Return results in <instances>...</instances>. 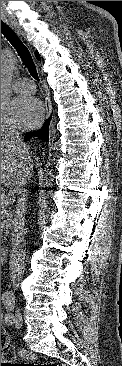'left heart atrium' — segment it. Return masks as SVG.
Returning <instances> with one entry per match:
<instances>
[{
    "mask_svg": "<svg viewBox=\"0 0 122 366\" xmlns=\"http://www.w3.org/2000/svg\"><path fill=\"white\" fill-rule=\"evenodd\" d=\"M41 102L29 96L15 98L11 104V123L21 128L37 126L43 118Z\"/></svg>",
    "mask_w": 122,
    "mask_h": 366,
    "instance_id": "left-heart-atrium-1",
    "label": "left heart atrium"
}]
</instances>
